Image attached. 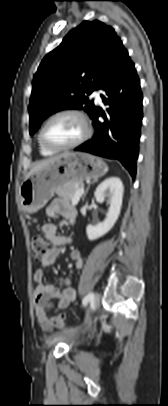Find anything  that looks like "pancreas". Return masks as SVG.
Listing matches in <instances>:
<instances>
[{
  "mask_svg": "<svg viewBox=\"0 0 168 406\" xmlns=\"http://www.w3.org/2000/svg\"><path fill=\"white\" fill-rule=\"evenodd\" d=\"M83 184L81 183H71L64 188H59L56 190L57 195L61 200L64 202L70 203L72 202L74 195L78 189H81Z\"/></svg>",
  "mask_w": 168,
  "mask_h": 406,
  "instance_id": "obj_1",
  "label": "pancreas"
}]
</instances>
